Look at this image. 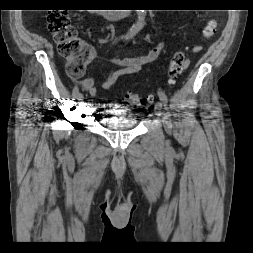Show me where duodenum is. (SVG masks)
<instances>
[{
	"label": "duodenum",
	"mask_w": 253,
	"mask_h": 253,
	"mask_svg": "<svg viewBox=\"0 0 253 253\" xmlns=\"http://www.w3.org/2000/svg\"><path fill=\"white\" fill-rule=\"evenodd\" d=\"M100 14L109 20H120L127 17L129 12L125 9H105Z\"/></svg>",
	"instance_id": "410a0bca"
}]
</instances>
